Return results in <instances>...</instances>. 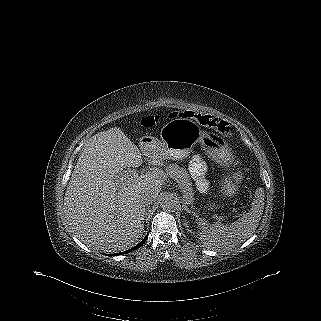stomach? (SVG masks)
<instances>
[{"mask_svg": "<svg viewBox=\"0 0 321 321\" xmlns=\"http://www.w3.org/2000/svg\"><path fill=\"white\" fill-rule=\"evenodd\" d=\"M197 143H200L209 155L221 162L230 159L228 144L216 134L205 133L191 119L176 118L167 122L161 128L160 140L151 136L140 138L142 147H150L164 158L173 160L186 158ZM233 190L234 186H227V193L231 194Z\"/></svg>", "mask_w": 321, "mask_h": 321, "instance_id": "obj_1", "label": "stomach"}]
</instances>
